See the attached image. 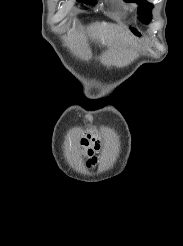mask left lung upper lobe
Wrapping results in <instances>:
<instances>
[{
    "label": "left lung upper lobe",
    "mask_w": 183,
    "mask_h": 246,
    "mask_svg": "<svg viewBox=\"0 0 183 246\" xmlns=\"http://www.w3.org/2000/svg\"><path fill=\"white\" fill-rule=\"evenodd\" d=\"M127 2H136L137 4H139V8H138V14H139V20L142 21L143 23H149L151 20V9L153 7L152 4L146 2L145 0H125ZM134 32V34L136 35H140L139 33H137L135 30H132Z\"/></svg>",
    "instance_id": "5c2ea615"
}]
</instances>
